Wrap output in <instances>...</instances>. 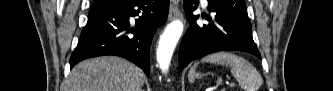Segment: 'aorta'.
Returning a JSON list of instances; mask_svg holds the SVG:
<instances>
[{
    "label": "aorta",
    "mask_w": 333,
    "mask_h": 91,
    "mask_svg": "<svg viewBox=\"0 0 333 91\" xmlns=\"http://www.w3.org/2000/svg\"><path fill=\"white\" fill-rule=\"evenodd\" d=\"M182 32L183 23L180 20H176L168 24L163 34L160 36L157 49V61L163 72H166L169 68L174 49Z\"/></svg>",
    "instance_id": "obj_1"
}]
</instances>
